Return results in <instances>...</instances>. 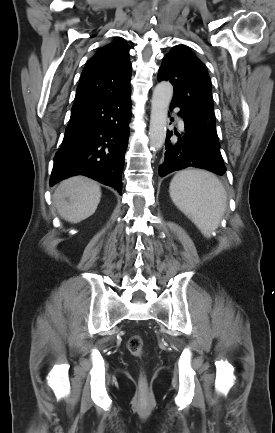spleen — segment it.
<instances>
[{
    "instance_id": "1",
    "label": "spleen",
    "mask_w": 275,
    "mask_h": 433,
    "mask_svg": "<svg viewBox=\"0 0 275 433\" xmlns=\"http://www.w3.org/2000/svg\"><path fill=\"white\" fill-rule=\"evenodd\" d=\"M170 197L174 204L210 237L225 212L227 195L219 179L202 170H184L170 183Z\"/></svg>"
}]
</instances>
